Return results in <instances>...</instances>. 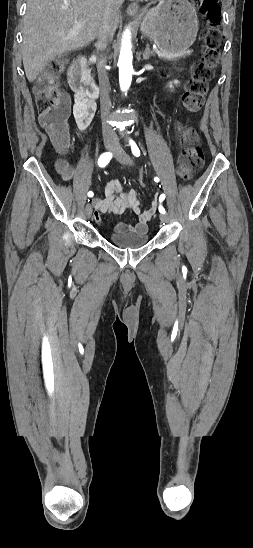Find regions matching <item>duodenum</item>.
<instances>
[{
  "mask_svg": "<svg viewBox=\"0 0 253 548\" xmlns=\"http://www.w3.org/2000/svg\"><path fill=\"white\" fill-rule=\"evenodd\" d=\"M69 82L77 95L89 100L98 98L99 88L91 79L86 56H78L71 64Z\"/></svg>",
  "mask_w": 253,
  "mask_h": 548,
  "instance_id": "obj_1",
  "label": "duodenum"
}]
</instances>
